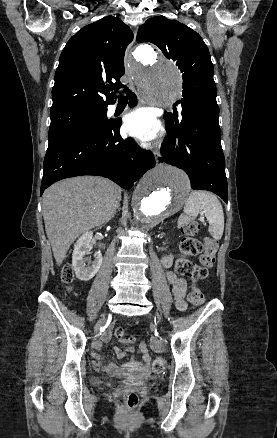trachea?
Segmentation results:
<instances>
[{"label": "trachea", "instance_id": "obj_1", "mask_svg": "<svg viewBox=\"0 0 277 438\" xmlns=\"http://www.w3.org/2000/svg\"><path fill=\"white\" fill-rule=\"evenodd\" d=\"M118 98H119V100H127V97H125V96L122 95V94H120Z\"/></svg>", "mask_w": 277, "mask_h": 438}]
</instances>
